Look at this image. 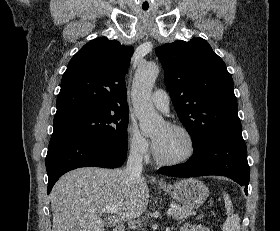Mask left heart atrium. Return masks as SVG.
<instances>
[{
	"label": "left heart atrium",
	"instance_id": "obj_1",
	"mask_svg": "<svg viewBox=\"0 0 280 231\" xmlns=\"http://www.w3.org/2000/svg\"><path fill=\"white\" fill-rule=\"evenodd\" d=\"M164 139H165V134L164 133L158 135L157 137H155L153 139V146H154V149L157 152L162 148L163 143H164Z\"/></svg>",
	"mask_w": 280,
	"mask_h": 231
}]
</instances>
